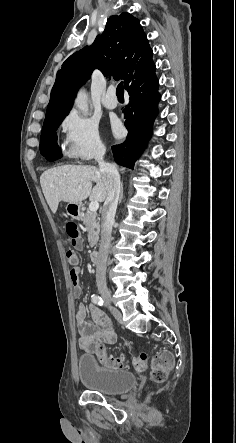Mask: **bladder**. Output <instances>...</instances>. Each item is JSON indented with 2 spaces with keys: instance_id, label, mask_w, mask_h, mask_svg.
Masks as SVG:
<instances>
[{
  "instance_id": "obj_1",
  "label": "bladder",
  "mask_w": 236,
  "mask_h": 443,
  "mask_svg": "<svg viewBox=\"0 0 236 443\" xmlns=\"http://www.w3.org/2000/svg\"><path fill=\"white\" fill-rule=\"evenodd\" d=\"M80 381L91 391L118 395L131 390L136 384L133 373L101 366L92 355L84 354L77 360Z\"/></svg>"
}]
</instances>
